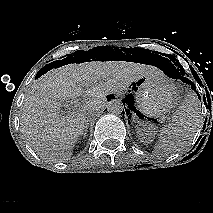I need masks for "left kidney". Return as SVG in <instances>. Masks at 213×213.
<instances>
[{
  "instance_id": "5707ae66",
  "label": "left kidney",
  "mask_w": 213,
  "mask_h": 213,
  "mask_svg": "<svg viewBox=\"0 0 213 213\" xmlns=\"http://www.w3.org/2000/svg\"><path fill=\"white\" fill-rule=\"evenodd\" d=\"M140 140L144 143L151 141L153 128L150 125L140 124L137 128Z\"/></svg>"
}]
</instances>
